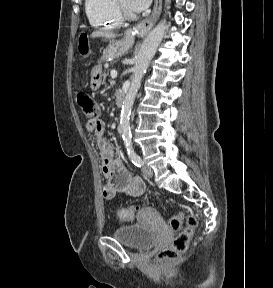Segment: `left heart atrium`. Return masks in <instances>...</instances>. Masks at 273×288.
I'll list each match as a JSON object with an SVG mask.
<instances>
[{"label":"left heart atrium","mask_w":273,"mask_h":288,"mask_svg":"<svg viewBox=\"0 0 273 288\" xmlns=\"http://www.w3.org/2000/svg\"><path fill=\"white\" fill-rule=\"evenodd\" d=\"M151 0H127V5L133 12L139 13L144 11L150 4Z\"/></svg>","instance_id":"1"}]
</instances>
